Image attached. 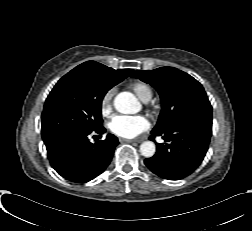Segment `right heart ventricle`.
<instances>
[{"instance_id":"obj_1","label":"right heart ventricle","mask_w":252,"mask_h":231,"mask_svg":"<svg viewBox=\"0 0 252 231\" xmlns=\"http://www.w3.org/2000/svg\"><path fill=\"white\" fill-rule=\"evenodd\" d=\"M132 91L143 102H147L152 98L153 91L149 85L144 82H135L130 85Z\"/></svg>"}]
</instances>
